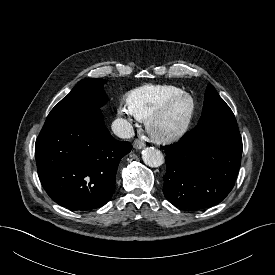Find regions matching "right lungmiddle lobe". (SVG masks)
Wrapping results in <instances>:
<instances>
[{
    "mask_svg": "<svg viewBox=\"0 0 275 275\" xmlns=\"http://www.w3.org/2000/svg\"><path fill=\"white\" fill-rule=\"evenodd\" d=\"M104 79L87 78L79 81L72 91L49 113L44 126L87 118L99 112L107 101Z\"/></svg>",
    "mask_w": 275,
    "mask_h": 275,
    "instance_id": "1",
    "label": "right lung middle lobe"
}]
</instances>
